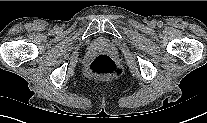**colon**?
Here are the masks:
<instances>
[{
    "mask_svg": "<svg viewBox=\"0 0 207 123\" xmlns=\"http://www.w3.org/2000/svg\"><path fill=\"white\" fill-rule=\"evenodd\" d=\"M119 72V65L107 55L96 56L86 67V74L92 77L112 76Z\"/></svg>",
    "mask_w": 207,
    "mask_h": 123,
    "instance_id": "obj_1",
    "label": "colon"
}]
</instances>
